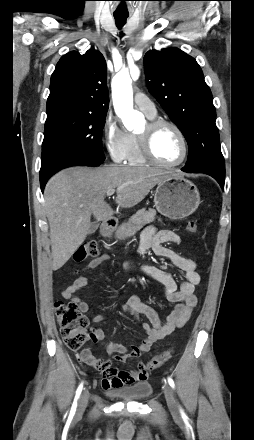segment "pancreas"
Masks as SVG:
<instances>
[{
  "label": "pancreas",
  "mask_w": 254,
  "mask_h": 440,
  "mask_svg": "<svg viewBox=\"0 0 254 440\" xmlns=\"http://www.w3.org/2000/svg\"><path fill=\"white\" fill-rule=\"evenodd\" d=\"M155 218V209H140L132 217L129 218L127 223H124L121 226L119 230V235L123 238L132 236L144 225L154 222Z\"/></svg>",
  "instance_id": "obj_1"
}]
</instances>
